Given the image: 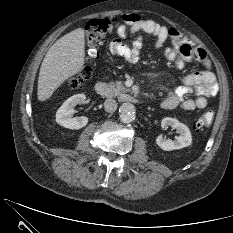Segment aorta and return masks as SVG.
Listing matches in <instances>:
<instances>
[{
    "label": "aorta",
    "instance_id": "1",
    "mask_svg": "<svg viewBox=\"0 0 233 233\" xmlns=\"http://www.w3.org/2000/svg\"><path fill=\"white\" fill-rule=\"evenodd\" d=\"M120 120L123 123H131L135 120L136 109L132 103L125 102L120 106Z\"/></svg>",
    "mask_w": 233,
    "mask_h": 233
}]
</instances>
